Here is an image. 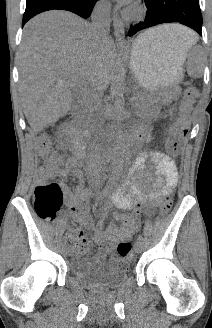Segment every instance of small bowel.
<instances>
[{
  "instance_id": "1",
  "label": "small bowel",
  "mask_w": 212,
  "mask_h": 328,
  "mask_svg": "<svg viewBox=\"0 0 212 328\" xmlns=\"http://www.w3.org/2000/svg\"><path fill=\"white\" fill-rule=\"evenodd\" d=\"M152 161L156 166L154 180L155 188L151 189L153 175L145 171V165ZM45 175L66 178L69 174L81 179L79 162L75 159L65 161L63 155L58 152L53 153L44 162ZM128 178L133 182L130 192L126 191V182L119 185L112 195V203L121 210L127 211L125 214L113 213L114 222L118 223L105 226L100 221L95 228L94 241L99 246L96 254L88 260V267L91 271L105 274L116 271L120 268V258L112 253L115 245L120 240L130 239L140 227V215L146 203L157 206L161 203L162 195L170 193L178 181V171L174 161L160 151H143L132 163ZM66 202L69 210L73 213L74 219L85 228L92 225L89 215L88 197L89 193L84 188L79 187L75 192H71L66 185H63ZM82 237L83 234L80 232ZM82 243L74 246L73 255L83 257L89 249L90 242L83 237ZM110 254L109 261H106Z\"/></svg>"
}]
</instances>
